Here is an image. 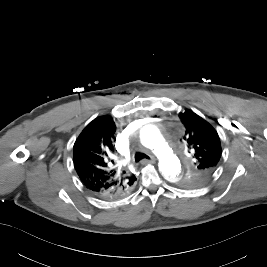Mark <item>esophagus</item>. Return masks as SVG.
<instances>
[{
  "mask_svg": "<svg viewBox=\"0 0 267 267\" xmlns=\"http://www.w3.org/2000/svg\"><path fill=\"white\" fill-rule=\"evenodd\" d=\"M155 162L154 158H150V159H144L141 161V164H153Z\"/></svg>",
  "mask_w": 267,
  "mask_h": 267,
  "instance_id": "1",
  "label": "esophagus"
}]
</instances>
